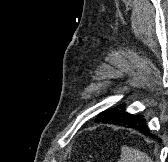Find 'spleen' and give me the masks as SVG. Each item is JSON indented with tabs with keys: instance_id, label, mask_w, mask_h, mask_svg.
I'll use <instances>...</instances> for the list:
<instances>
[{
	"instance_id": "1",
	"label": "spleen",
	"mask_w": 168,
	"mask_h": 162,
	"mask_svg": "<svg viewBox=\"0 0 168 162\" xmlns=\"http://www.w3.org/2000/svg\"><path fill=\"white\" fill-rule=\"evenodd\" d=\"M118 162H153L152 159L139 149L123 146Z\"/></svg>"
}]
</instances>
